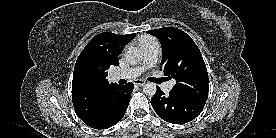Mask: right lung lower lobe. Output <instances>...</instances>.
<instances>
[{
  "instance_id": "right-lung-lower-lobe-1",
  "label": "right lung lower lobe",
  "mask_w": 276,
  "mask_h": 138,
  "mask_svg": "<svg viewBox=\"0 0 276 138\" xmlns=\"http://www.w3.org/2000/svg\"><path fill=\"white\" fill-rule=\"evenodd\" d=\"M133 87V83L129 82L126 85L115 88L112 93L113 100L108 116H106V118L100 123L90 127L95 129H107L117 124L125 115Z\"/></svg>"
}]
</instances>
